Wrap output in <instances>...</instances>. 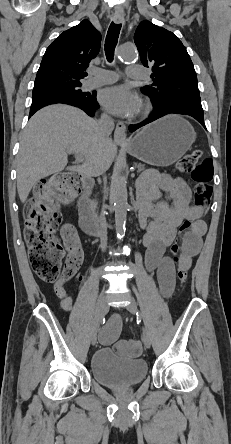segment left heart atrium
I'll return each instance as SVG.
<instances>
[{
    "instance_id": "1",
    "label": "left heart atrium",
    "mask_w": 231,
    "mask_h": 444,
    "mask_svg": "<svg viewBox=\"0 0 231 444\" xmlns=\"http://www.w3.org/2000/svg\"><path fill=\"white\" fill-rule=\"evenodd\" d=\"M99 102L108 112L118 116H129L135 113L139 106L137 96L124 86L102 90Z\"/></svg>"
}]
</instances>
